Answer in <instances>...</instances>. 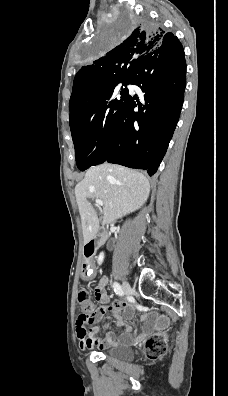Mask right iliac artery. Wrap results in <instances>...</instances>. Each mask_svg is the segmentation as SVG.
I'll use <instances>...</instances> for the list:
<instances>
[{"mask_svg":"<svg viewBox=\"0 0 228 396\" xmlns=\"http://www.w3.org/2000/svg\"><path fill=\"white\" fill-rule=\"evenodd\" d=\"M113 288H114V291L116 292V294L120 295L122 293V288L119 283L114 282Z\"/></svg>","mask_w":228,"mask_h":396,"instance_id":"obj_1","label":"right iliac artery"}]
</instances>
